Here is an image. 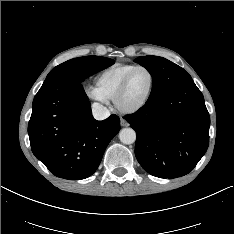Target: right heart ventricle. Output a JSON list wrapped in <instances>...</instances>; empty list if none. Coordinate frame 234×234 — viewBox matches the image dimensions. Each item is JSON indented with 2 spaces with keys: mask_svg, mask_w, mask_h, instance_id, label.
Masks as SVG:
<instances>
[{
  "mask_svg": "<svg viewBox=\"0 0 234 234\" xmlns=\"http://www.w3.org/2000/svg\"><path fill=\"white\" fill-rule=\"evenodd\" d=\"M135 66L134 64H114L103 69L96 76V88L107 100H113L123 79Z\"/></svg>",
  "mask_w": 234,
  "mask_h": 234,
  "instance_id": "e07e8e85",
  "label": "right heart ventricle"
}]
</instances>
